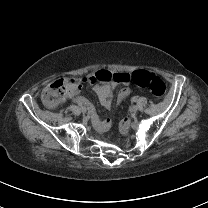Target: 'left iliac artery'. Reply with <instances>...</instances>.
<instances>
[{
	"label": "left iliac artery",
	"instance_id": "1",
	"mask_svg": "<svg viewBox=\"0 0 208 208\" xmlns=\"http://www.w3.org/2000/svg\"><path fill=\"white\" fill-rule=\"evenodd\" d=\"M132 101H133V102H136V101H137V98H136V97H133V98H132Z\"/></svg>",
	"mask_w": 208,
	"mask_h": 208
}]
</instances>
